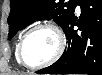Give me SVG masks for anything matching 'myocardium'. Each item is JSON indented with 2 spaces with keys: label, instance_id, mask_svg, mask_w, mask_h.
I'll return each instance as SVG.
<instances>
[{
  "label": "myocardium",
  "instance_id": "1",
  "mask_svg": "<svg viewBox=\"0 0 102 75\" xmlns=\"http://www.w3.org/2000/svg\"><path fill=\"white\" fill-rule=\"evenodd\" d=\"M41 28L50 29L56 34L57 39H58V48H57L56 53L47 61H45L39 65H31V64L27 63L24 59L23 46H24L26 39L29 37V35L32 32H34L35 30L41 29ZM65 47H66V37L59 26H57L56 24H54L52 22H48V21L39 22V23H36L35 25H33L32 27H30L21 36L19 44H18V57H19V60L22 62V64H24L25 66L32 67V68L45 67V66L53 64L55 61H57L63 54Z\"/></svg>",
  "mask_w": 102,
  "mask_h": 75
}]
</instances>
